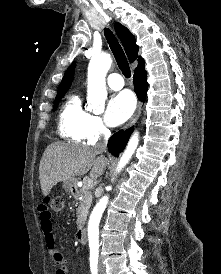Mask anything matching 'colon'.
<instances>
[{
    "instance_id": "1",
    "label": "colon",
    "mask_w": 221,
    "mask_h": 274,
    "mask_svg": "<svg viewBox=\"0 0 221 274\" xmlns=\"http://www.w3.org/2000/svg\"><path fill=\"white\" fill-rule=\"evenodd\" d=\"M54 212H62L65 207V200L61 196H51L48 197L47 201L45 202Z\"/></svg>"
}]
</instances>
